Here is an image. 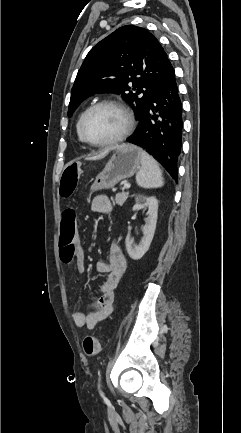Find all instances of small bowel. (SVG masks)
Instances as JSON below:
<instances>
[{
    "instance_id": "obj_1",
    "label": "small bowel",
    "mask_w": 241,
    "mask_h": 433,
    "mask_svg": "<svg viewBox=\"0 0 241 433\" xmlns=\"http://www.w3.org/2000/svg\"><path fill=\"white\" fill-rule=\"evenodd\" d=\"M91 207L97 214H110L113 211V205L110 199L105 195L94 197ZM62 227L63 226H61V228ZM74 256L76 257L78 271L83 273L85 271V253L83 249L79 252L75 251ZM126 268V259L120 247L118 244L112 243L109 248L108 261H98L96 263L97 272L107 275L106 280L99 289L97 300L91 304V310L88 313L75 311L72 315L73 321L77 327L93 329L98 323L105 320L111 314L115 299V290Z\"/></svg>"
}]
</instances>
